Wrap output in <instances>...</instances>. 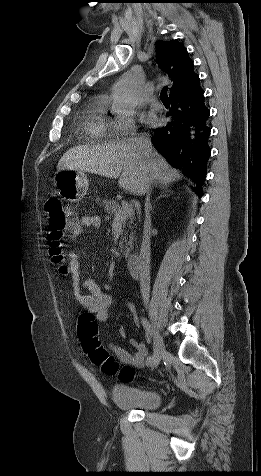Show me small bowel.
I'll return each instance as SVG.
<instances>
[{
    "label": "small bowel",
    "mask_w": 261,
    "mask_h": 476,
    "mask_svg": "<svg viewBox=\"0 0 261 476\" xmlns=\"http://www.w3.org/2000/svg\"><path fill=\"white\" fill-rule=\"evenodd\" d=\"M100 226L101 219L99 216H84L70 235L76 237L86 228L97 229ZM67 257L69 263L66 271L71 278L74 296L80 302L84 311L94 314L96 323L106 322L109 317V311L114 306L116 300L111 295L104 293L94 280L81 278L80 260L75 252H68ZM84 289L88 291L87 294L82 292ZM126 306L130 312L134 313L135 308L131 302H126ZM118 333L123 338L127 337V331L124 327H120ZM129 343L135 350L133 353L112 343L108 347L115 357L126 366L141 367L146 357L145 344L133 338L129 339Z\"/></svg>",
    "instance_id": "small-bowel-1"
}]
</instances>
